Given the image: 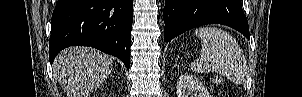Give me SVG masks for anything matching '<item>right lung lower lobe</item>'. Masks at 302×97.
<instances>
[{
    "label": "right lung lower lobe",
    "instance_id": "1",
    "mask_svg": "<svg viewBox=\"0 0 302 97\" xmlns=\"http://www.w3.org/2000/svg\"><path fill=\"white\" fill-rule=\"evenodd\" d=\"M133 0H58L51 20L49 60L69 46H91L130 66Z\"/></svg>",
    "mask_w": 302,
    "mask_h": 97
}]
</instances>
